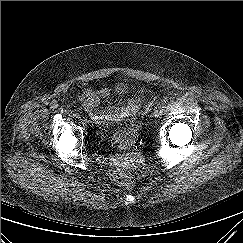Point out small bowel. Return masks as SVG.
Wrapping results in <instances>:
<instances>
[{"label":"small bowel","instance_id":"c3829d8e","mask_svg":"<svg viewBox=\"0 0 243 243\" xmlns=\"http://www.w3.org/2000/svg\"><path fill=\"white\" fill-rule=\"evenodd\" d=\"M115 92L119 95H125L128 92V87L124 83H118L115 86ZM110 95L111 90L108 87L98 89L87 87L81 94L80 102L97 125L113 124L118 138L128 140L135 128L133 118L141 108V98L138 95H133L124 105L114 110L100 109L101 102L107 100Z\"/></svg>","mask_w":243,"mask_h":243}]
</instances>
